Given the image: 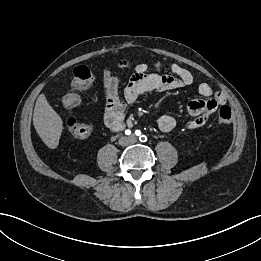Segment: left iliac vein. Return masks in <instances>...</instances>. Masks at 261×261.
Returning <instances> with one entry per match:
<instances>
[{
    "label": "left iliac vein",
    "mask_w": 261,
    "mask_h": 261,
    "mask_svg": "<svg viewBox=\"0 0 261 261\" xmlns=\"http://www.w3.org/2000/svg\"><path fill=\"white\" fill-rule=\"evenodd\" d=\"M130 141H131V142H136V141H137V138L132 135V136H130Z\"/></svg>",
    "instance_id": "1"
}]
</instances>
